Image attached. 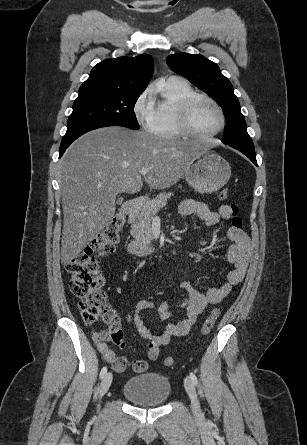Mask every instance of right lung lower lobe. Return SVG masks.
Here are the masks:
<instances>
[{
    "mask_svg": "<svg viewBox=\"0 0 307 445\" xmlns=\"http://www.w3.org/2000/svg\"><path fill=\"white\" fill-rule=\"evenodd\" d=\"M107 126H113V125H107V124H89L84 125L72 130H67L65 136L62 139L60 150H59V158L63 155L65 150L69 147V145L75 141L78 137L83 135L84 133L101 128V127H107Z\"/></svg>",
    "mask_w": 307,
    "mask_h": 445,
    "instance_id": "98d812e1",
    "label": "right lung lower lobe"
}]
</instances>
